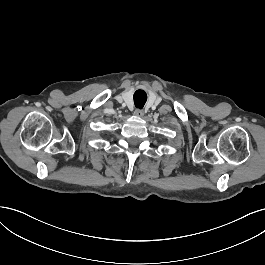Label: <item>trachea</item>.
Wrapping results in <instances>:
<instances>
[{"label":"trachea","instance_id":"trachea-1","mask_svg":"<svg viewBox=\"0 0 265 265\" xmlns=\"http://www.w3.org/2000/svg\"><path fill=\"white\" fill-rule=\"evenodd\" d=\"M133 99H134L135 106L142 108L147 101V94L143 89H138L134 93Z\"/></svg>","mask_w":265,"mask_h":265}]
</instances>
